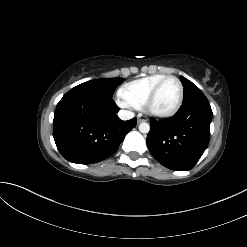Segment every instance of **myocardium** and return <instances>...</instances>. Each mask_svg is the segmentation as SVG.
Returning a JSON list of instances; mask_svg holds the SVG:
<instances>
[{
    "label": "myocardium",
    "mask_w": 247,
    "mask_h": 247,
    "mask_svg": "<svg viewBox=\"0 0 247 247\" xmlns=\"http://www.w3.org/2000/svg\"><path fill=\"white\" fill-rule=\"evenodd\" d=\"M169 79H174L179 85V99H178V102L174 106V108L171 109L170 111L165 112V113H156V112L152 111L151 105H152L156 95L158 94L160 88L162 87V85ZM183 101H184V87H183V84H182L181 80L178 77L174 76V75H166L163 79H161L155 85V87L149 93V95L147 96V98H146V100L144 102L143 109H144L145 113L148 114L151 117H154V118H157V119H168V118L173 117L175 114H177V112L182 107Z\"/></svg>",
    "instance_id": "obj_1"
}]
</instances>
